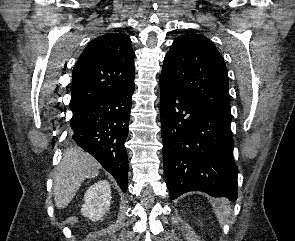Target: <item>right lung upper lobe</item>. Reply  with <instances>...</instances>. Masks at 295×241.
I'll return each instance as SVG.
<instances>
[{
	"mask_svg": "<svg viewBox=\"0 0 295 241\" xmlns=\"http://www.w3.org/2000/svg\"><path fill=\"white\" fill-rule=\"evenodd\" d=\"M134 57L128 35L109 33L92 40L74 66L69 106L134 84Z\"/></svg>",
	"mask_w": 295,
	"mask_h": 241,
	"instance_id": "cb5924a9",
	"label": "right lung upper lobe"
}]
</instances>
